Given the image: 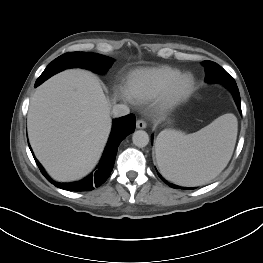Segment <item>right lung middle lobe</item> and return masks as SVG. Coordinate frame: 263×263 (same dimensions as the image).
<instances>
[{
	"instance_id": "1",
	"label": "right lung middle lobe",
	"mask_w": 263,
	"mask_h": 263,
	"mask_svg": "<svg viewBox=\"0 0 263 263\" xmlns=\"http://www.w3.org/2000/svg\"><path fill=\"white\" fill-rule=\"evenodd\" d=\"M113 59L89 52H73L59 56L44 70V75H54L66 68L83 67L104 73L112 66Z\"/></svg>"
}]
</instances>
